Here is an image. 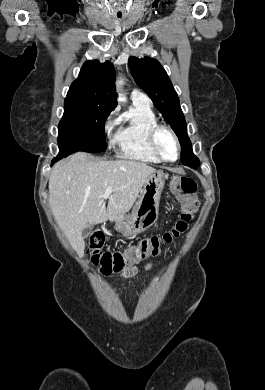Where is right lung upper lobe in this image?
Wrapping results in <instances>:
<instances>
[{
	"label": "right lung upper lobe",
	"mask_w": 265,
	"mask_h": 390,
	"mask_svg": "<svg viewBox=\"0 0 265 390\" xmlns=\"http://www.w3.org/2000/svg\"><path fill=\"white\" fill-rule=\"evenodd\" d=\"M116 96L113 65L109 61L92 60L83 64L64 104L90 105L112 111L117 105Z\"/></svg>",
	"instance_id": "cb5924a9"
}]
</instances>
